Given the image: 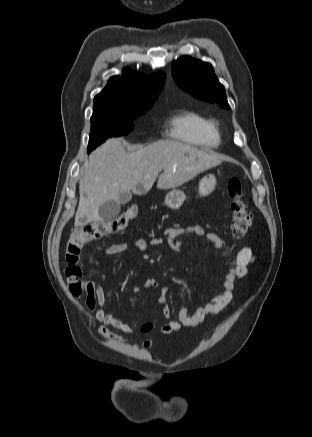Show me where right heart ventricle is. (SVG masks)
Segmentation results:
<instances>
[{"mask_svg": "<svg viewBox=\"0 0 312 437\" xmlns=\"http://www.w3.org/2000/svg\"><path fill=\"white\" fill-rule=\"evenodd\" d=\"M168 128L173 138L186 143L208 147L220 143L218 123L194 111L179 112L169 120Z\"/></svg>", "mask_w": 312, "mask_h": 437, "instance_id": "1", "label": "right heart ventricle"}]
</instances>
